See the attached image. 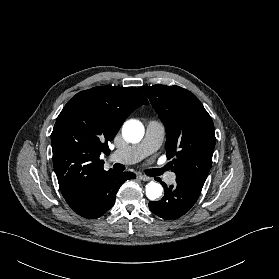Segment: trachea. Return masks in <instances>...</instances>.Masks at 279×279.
I'll return each instance as SVG.
<instances>
[{
  "instance_id": "1",
  "label": "trachea",
  "mask_w": 279,
  "mask_h": 279,
  "mask_svg": "<svg viewBox=\"0 0 279 279\" xmlns=\"http://www.w3.org/2000/svg\"><path fill=\"white\" fill-rule=\"evenodd\" d=\"M116 165H119V164H116ZM165 170H166V167H165V168H162V169H149V170L146 171V173H147L149 176H159V175H161Z\"/></svg>"
}]
</instances>
